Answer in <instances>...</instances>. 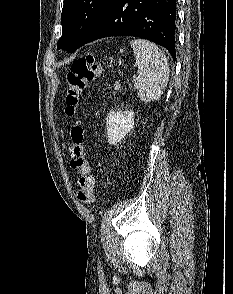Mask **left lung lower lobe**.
Returning a JSON list of instances; mask_svg holds the SVG:
<instances>
[{
  "label": "left lung lower lobe",
  "instance_id": "obj_1",
  "mask_svg": "<svg viewBox=\"0 0 233 294\" xmlns=\"http://www.w3.org/2000/svg\"><path fill=\"white\" fill-rule=\"evenodd\" d=\"M176 0H111L84 42L110 36L141 37L165 47L176 59Z\"/></svg>",
  "mask_w": 233,
  "mask_h": 294
}]
</instances>
